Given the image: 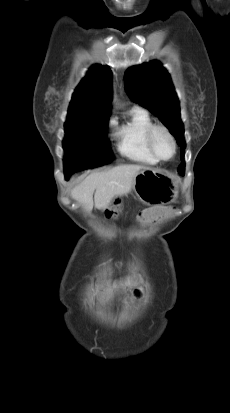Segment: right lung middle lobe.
Wrapping results in <instances>:
<instances>
[{
  "label": "right lung middle lobe",
  "instance_id": "right-lung-middle-lobe-1",
  "mask_svg": "<svg viewBox=\"0 0 230 413\" xmlns=\"http://www.w3.org/2000/svg\"><path fill=\"white\" fill-rule=\"evenodd\" d=\"M108 119L65 125V177L76 171L98 167L114 160L106 135Z\"/></svg>",
  "mask_w": 230,
  "mask_h": 413
}]
</instances>
